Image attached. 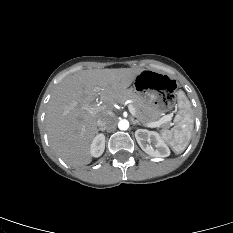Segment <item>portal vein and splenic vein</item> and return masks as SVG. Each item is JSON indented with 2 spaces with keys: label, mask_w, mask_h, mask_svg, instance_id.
<instances>
[{
  "label": "portal vein and splenic vein",
  "mask_w": 233,
  "mask_h": 233,
  "mask_svg": "<svg viewBox=\"0 0 233 233\" xmlns=\"http://www.w3.org/2000/svg\"><path fill=\"white\" fill-rule=\"evenodd\" d=\"M96 89H97V91H100V88H96ZM103 108H104V106L100 105V104L86 107V109H88L91 114L96 113V112L102 110ZM128 109L133 116H136V111H135V108L133 107L132 104H128ZM169 121H171V116L165 115L157 121L148 123L147 126L150 128L160 127L162 124L169 122Z\"/></svg>",
  "instance_id": "portal-vein-and-splenic-vein-1"
}]
</instances>
